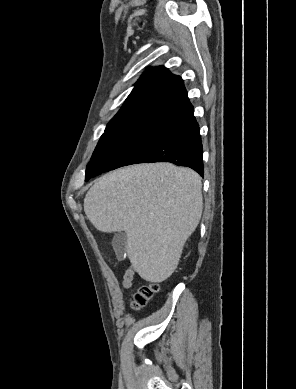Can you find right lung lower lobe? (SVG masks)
<instances>
[{
	"instance_id": "98d812e1",
	"label": "right lung lower lobe",
	"mask_w": 296,
	"mask_h": 389,
	"mask_svg": "<svg viewBox=\"0 0 296 389\" xmlns=\"http://www.w3.org/2000/svg\"><path fill=\"white\" fill-rule=\"evenodd\" d=\"M171 162L190 167L200 176L204 174L203 148L200 127L194 112L181 118L149 150L141 163ZM101 174L99 171L86 170V181Z\"/></svg>"
}]
</instances>
